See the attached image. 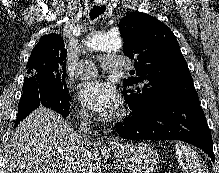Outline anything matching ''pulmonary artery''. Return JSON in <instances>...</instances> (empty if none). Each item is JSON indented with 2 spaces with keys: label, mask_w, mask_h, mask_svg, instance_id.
Instances as JSON below:
<instances>
[{
  "label": "pulmonary artery",
  "mask_w": 219,
  "mask_h": 173,
  "mask_svg": "<svg viewBox=\"0 0 219 173\" xmlns=\"http://www.w3.org/2000/svg\"><path fill=\"white\" fill-rule=\"evenodd\" d=\"M100 64L106 71H121L126 67V60L119 56H105L100 59ZM96 73V66L90 60L81 61L75 70V75L81 79L92 78Z\"/></svg>",
  "instance_id": "pulmonary-artery-1"
}]
</instances>
